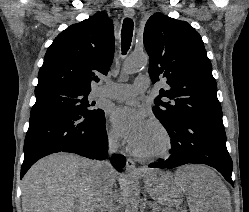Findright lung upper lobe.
<instances>
[{"label":"right lung upper lobe","mask_w":249,"mask_h":212,"mask_svg":"<svg viewBox=\"0 0 249 212\" xmlns=\"http://www.w3.org/2000/svg\"><path fill=\"white\" fill-rule=\"evenodd\" d=\"M115 43L112 21L104 12L61 32L48 48L35 95L54 91L90 92L96 74H107Z\"/></svg>","instance_id":"1"}]
</instances>
